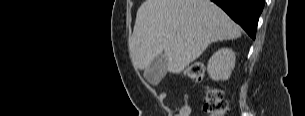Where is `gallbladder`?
<instances>
[{"mask_svg": "<svg viewBox=\"0 0 305 116\" xmlns=\"http://www.w3.org/2000/svg\"><path fill=\"white\" fill-rule=\"evenodd\" d=\"M168 60L164 53L157 55L144 72L145 79L152 85H158L167 72Z\"/></svg>", "mask_w": 305, "mask_h": 116, "instance_id": "1", "label": "gallbladder"}]
</instances>
